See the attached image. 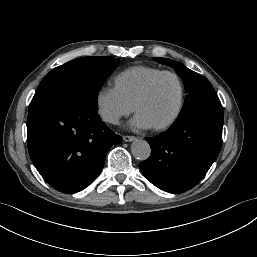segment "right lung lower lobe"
Masks as SVG:
<instances>
[{
    "label": "right lung lower lobe",
    "instance_id": "obj_1",
    "mask_svg": "<svg viewBox=\"0 0 257 257\" xmlns=\"http://www.w3.org/2000/svg\"><path fill=\"white\" fill-rule=\"evenodd\" d=\"M97 111L71 100L29 105L27 143L30 158L54 189L74 193L102 171L112 145L122 142Z\"/></svg>",
    "mask_w": 257,
    "mask_h": 257
}]
</instances>
